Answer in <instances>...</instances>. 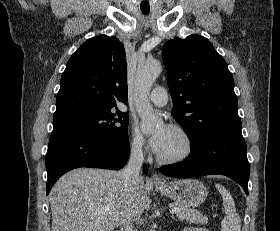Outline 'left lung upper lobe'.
<instances>
[{"label":"left lung upper lobe","instance_id":"obj_1","mask_svg":"<svg viewBox=\"0 0 280 231\" xmlns=\"http://www.w3.org/2000/svg\"><path fill=\"white\" fill-rule=\"evenodd\" d=\"M173 102L172 115L190 141L227 128H241L234 81L225 60L199 35L168 41L162 49Z\"/></svg>","mask_w":280,"mask_h":231}]
</instances>
